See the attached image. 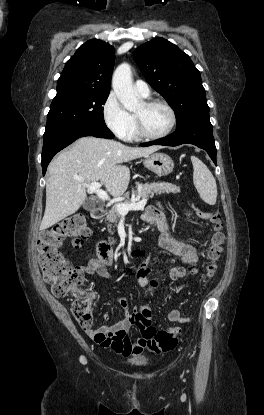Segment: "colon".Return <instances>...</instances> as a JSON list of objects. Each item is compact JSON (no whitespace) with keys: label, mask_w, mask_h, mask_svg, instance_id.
Masks as SVG:
<instances>
[{"label":"colon","mask_w":264,"mask_h":415,"mask_svg":"<svg viewBox=\"0 0 264 415\" xmlns=\"http://www.w3.org/2000/svg\"><path fill=\"white\" fill-rule=\"evenodd\" d=\"M199 217L207 220L212 227V236L207 251L208 264L206 278L211 279L217 271V262L221 257L224 235L222 233V217L219 211L196 210ZM89 235L84 216H73L61 224L43 229L37 241L39 266L44 281L51 284V292L56 297H70L72 314L84 329L92 325V308L96 303V294L88 289L85 283V271L71 264L60 252L64 240H69L77 247ZM183 267H176L170 272L171 278H180L186 274ZM180 319L179 315L174 316ZM135 320L144 332L148 349L153 353H162L173 349L181 331L177 328L157 331L152 325V313L148 308L139 311Z\"/></svg>","instance_id":"colon-1"}]
</instances>
